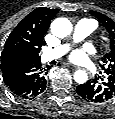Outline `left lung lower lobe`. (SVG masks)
<instances>
[{"label":"left lung lower lobe","mask_w":115,"mask_h":119,"mask_svg":"<svg viewBox=\"0 0 115 119\" xmlns=\"http://www.w3.org/2000/svg\"><path fill=\"white\" fill-rule=\"evenodd\" d=\"M76 91L85 99L104 102L115 96V78L107 77V80L101 83L87 82L79 85Z\"/></svg>","instance_id":"0a47b994"}]
</instances>
